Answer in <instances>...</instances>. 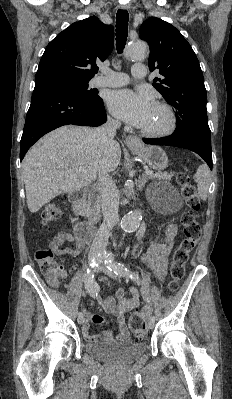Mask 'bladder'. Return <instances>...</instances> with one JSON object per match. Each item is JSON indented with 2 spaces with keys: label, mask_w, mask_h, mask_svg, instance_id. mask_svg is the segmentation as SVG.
I'll return each instance as SVG.
<instances>
[{
  "label": "bladder",
  "mask_w": 232,
  "mask_h": 399,
  "mask_svg": "<svg viewBox=\"0 0 232 399\" xmlns=\"http://www.w3.org/2000/svg\"><path fill=\"white\" fill-rule=\"evenodd\" d=\"M83 351L93 359L120 365L142 357L147 351V344L126 340L91 342L83 346Z\"/></svg>",
  "instance_id": "bladder-1"
}]
</instances>
